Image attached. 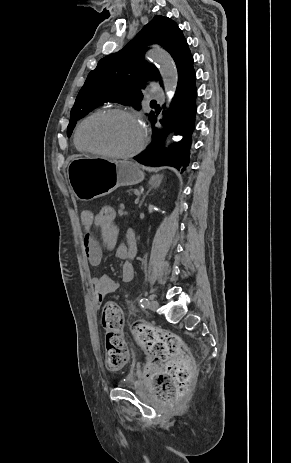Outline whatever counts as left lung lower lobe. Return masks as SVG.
I'll return each instance as SVG.
<instances>
[{"label": "left lung lower lobe", "mask_w": 291, "mask_h": 463, "mask_svg": "<svg viewBox=\"0 0 291 463\" xmlns=\"http://www.w3.org/2000/svg\"><path fill=\"white\" fill-rule=\"evenodd\" d=\"M195 80L194 69L189 70L178 79L176 93L170 108L165 113V119L160 120L164 129L152 128V141L144 152L134 157L136 161L146 166H173L182 172L189 165L196 115L197 90ZM163 107L165 108V105ZM149 119L153 125L157 121L154 113ZM171 132H174V135L182 136V139L166 147L165 140Z\"/></svg>", "instance_id": "left-lung-lower-lobe-1"}]
</instances>
